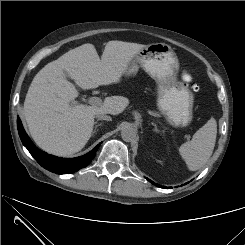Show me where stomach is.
Returning <instances> with one entry per match:
<instances>
[{
    "label": "stomach",
    "mask_w": 245,
    "mask_h": 245,
    "mask_svg": "<svg viewBox=\"0 0 245 245\" xmlns=\"http://www.w3.org/2000/svg\"><path fill=\"white\" fill-rule=\"evenodd\" d=\"M142 68L158 84V108L174 126H187L192 120L193 96L176 81L178 58L165 43H151L141 49L130 61L127 75H135Z\"/></svg>",
    "instance_id": "1"
}]
</instances>
